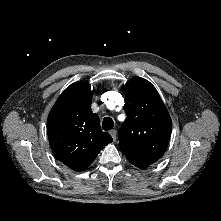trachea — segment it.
<instances>
[{"instance_id":"trachea-1","label":"trachea","mask_w":221,"mask_h":221,"mask_svg":"<svg viewBox=\"0 0 221 221\" xmlns=\"http://www.w3.org/2000/svg\"><path fill=\"white\" fill-rule=\"evenodd\" d=\"M114 126V122L112 118L110 117H105L102 121V129L105 131L111 130Z\"/></svg>"}]
</instances>
